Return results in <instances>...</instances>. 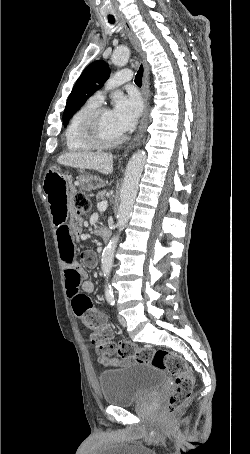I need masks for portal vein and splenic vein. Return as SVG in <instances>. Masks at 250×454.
<instances>
[{
    "instance_id": "obj_1",
    "label": "portal vein and splenic vein",
    "mask_w": 250,
    "mask_h": 454,
    "mask_svg": "<svg viewBox=\"0 0 250 454\" xmlns=\"http://www.w3.org/2000/svg\"><path fill=\"white\" fill-rule=\"evenodd\" d=\"M108 207V202L106 200H103L97 204V208L100 212H103L107 209Z\"/></svg>"
}]
</instances>
